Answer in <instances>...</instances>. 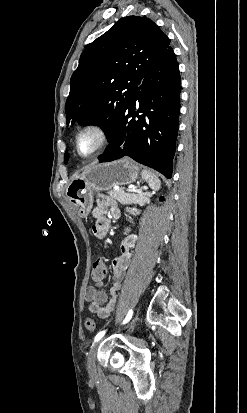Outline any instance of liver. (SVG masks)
<instances>
[{"instance_id": "1", "label": "liver", "mask_w": 247, "mask_h": 413, "mask_svg": "<svg viewBox=\"0 0 247 413\" xmlns=\"http://www.w3.org/2000/svg\"><path fill=\"white\" fill-rule=\"evenodd\" d=\"M85 168H88V166H85ZM74 176H77V174H74Z\"/></svg>"}]
</instances>
